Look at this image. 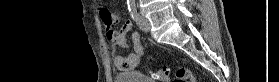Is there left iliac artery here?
Instances as JSON below:
<instances>
[{"label": "left iliac artery", "instance_id": "obj_1", "mask_svg": "<svg viewBox=\"0 0 279 82\" xmlns=\"http://www.w3.org/2000/svg\"><path fill=\"white\" fill-rule=\"evenodd\" d=\"M128 10L130 12L133 20L137 21L139 19V14L136 9L135 0H127Z\"/></svg>", "mask_w": 279, "mask_h": 82}]
</instances>
